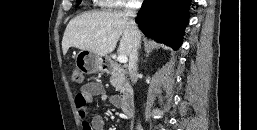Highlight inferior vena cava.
Here are the masks:
<instances>
[{
    "label": "inferior vena cava",
    "instance_id": "inferior-vena-cava-1",
    "mask_svg": "<svg viewBox=\"0 0 257 130\" xmlns=\"http://www.w3.org/2000/svg\"><path fill=\"white\" fill-rule=\"evenodd\" d=\"M124 16L128 19V27L131 33L132 38V45H131V52L129 55V74L133 84H135L138 80L137 77V60H138V49L140 46V31L135 23V16H136V8L129 7L125 10ZM138 130H141V125L137 126Z\"/></svg>",
    "mask_w": 257,
    "mask_h": 130
}]
</instances>
